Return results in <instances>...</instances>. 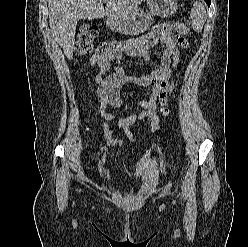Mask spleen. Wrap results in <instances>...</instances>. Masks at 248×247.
Returning a JSON list of instances; mask_svg holds the SVG:
<instances>
[{"label": "spleen", "instance_id": "3e777b00", "mask_svg": "<svg viewBox=\"0 0 248 247\" xmlns=\"http://www.w3.org/2000/svg\"><path fill=\"white\" fill-rule=\"evenodd\" d=\"M192 28L196 32H201L206 20V10L203 4L195 2L191 9Z\"/></svg>", "mask_w": 248, "mask_h": 247}]
</instances>
